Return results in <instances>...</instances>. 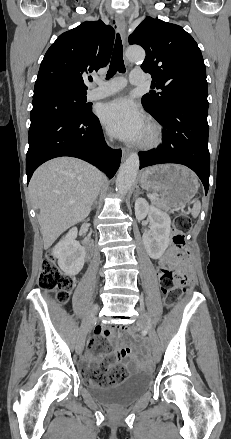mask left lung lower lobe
Instances as JSON below:
<instances>
[{"instance_id":"0a47b994","label":"left lung lower lobe","mask_w":231,"mask_h":439,"mask_svg":"<svg viewBox=\"0 0 231 439\" xmlns=\"http://www.w3.org/2000/svg\"><path fill=\"white\" fill-rule=\"evenodd\" d=\"M164 130L158 148L139 152L140 168L161 163H177L192 169L209 188L208 101L185 97L169 103L159 114H151Z\"/></svg>"}]
</instances>
